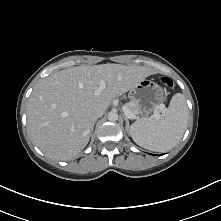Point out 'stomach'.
Here are the masks:
<instances>
[{
  "mask_svg": "<svg viewBox=\"0 0 221 221\" xmlns=\"http://www.w3.org/2000/svg\"><path fill=\"white\" fill-rule=\"evenodd\" d=\"M166 97V91L157 83L148 79H143L130 90L131 102L135 104L138 113L142 115L150 114Z\"/></svg>",
  "mask_w": 221,
  "mask_h": 221,
  "instance_id": "1",
  "label": "stomach"
}]
</instances>
